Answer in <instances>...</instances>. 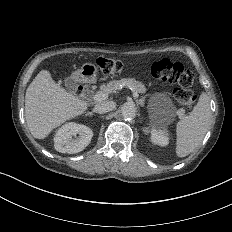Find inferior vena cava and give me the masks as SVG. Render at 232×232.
Returning <instances> with one entry per match:
<instances>
[{
  "instance_id": "602c4592",
  "label": "inferior vena cava",
  "mask_w": 232,
  "mask_h": 232,
  "mask_svg": "<svg viewBox=\"0 0 232 232\" xmlns=\"http://www.w3.org/2000/svg\"><path fill=\"white\" fill-rule=\"evenodd\" d=\"M115 107H116V104L113 101L102 102L95 106V111L98 113H107V112L114 110Z\"/></svg>"
}]
</instances>
